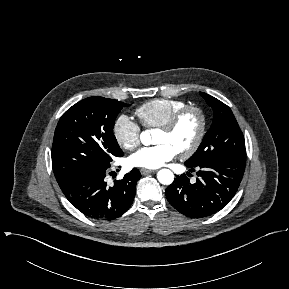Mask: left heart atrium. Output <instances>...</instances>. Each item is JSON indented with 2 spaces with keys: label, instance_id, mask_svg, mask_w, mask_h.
<instances>
[{
  "label": "left heart atrium",
  "instance_id": "left-heart-atrium-1",
  "mask_svg": "<svg viewBox=\"0 0 289 289\" xmlns=\"http://www.w3.org/2000/svg\"><path fill=\"white\" fill-rule=\"evenodd\" d=\"M177 152L169 144L161 143L152 147H144L133 153L128 161L133 167L156 169L172 160Z\"/></svg>",
  "mask_w": 289,
  "mask_h": 289
}]
</instances>
